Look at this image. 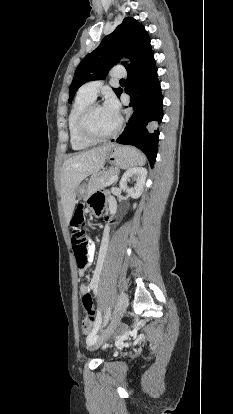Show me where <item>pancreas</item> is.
Instances as JSON below:
<instances>
[{"mask_svg":"<svg viewBox=\"0 0 233 414\" xmlns=\"http://www.w3.org/2000/svg\"><path fill=\"white\" fill-rule=\"evenodd\" d=\"M119 175V169L117 168H110L103 171H98L94 173L88 183V191L91 194L93 191L104 188L107 186L108 182L113 176Z\"/></svg>","mask_w":233,"mask_h":414,"instance_id":"1","label":"pancreas"}]
</instances>
